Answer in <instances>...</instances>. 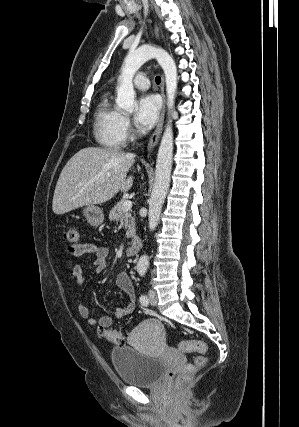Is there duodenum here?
<instances>
[{
  "label": "duodenum",
  "mask_w": 299,
  "mask_h": 427,
  "mask_svg": "<svg viewBox=\"0 0 299 427\" xmlns=\"http://www.w3.org/2000/svg\"><path fill=\"white\" fill-rule=\"evenodd\" d=\"M139 247H140L139 238H133L125 250V255L128 257L135 256L139 250Z\"/></svg>",
  "instance_id": "obj_1"
}]
</instances>
